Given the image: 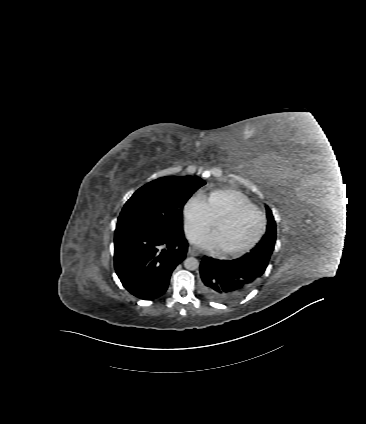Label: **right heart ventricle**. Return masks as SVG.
<instances>
[{"label": "right heart ventricle", "mask_w": 366, "mask_h": 424, "mask_svg": "<svg viewBox=\"0 0 366 424\" xmlns=\"http://www.w3.org/2000/svg\"><path fill=\"white\" fill-rule=\"evenodd\" d=\"M203 201L211 223L236 207L253 204L247 195L232 188L215 189L204 196Z\"/></svg>", "instance_id": "e07e8e85"}]
</instances>
